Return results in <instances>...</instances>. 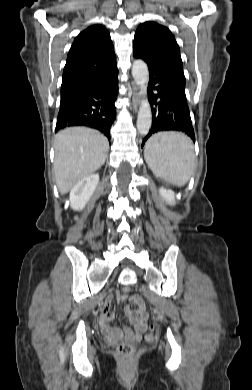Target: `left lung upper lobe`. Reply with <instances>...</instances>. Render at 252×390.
Here are the masks:
<instances>
[{
    "mask_svg": "<svg viewBox=\"0 0 252 390\" xmlns=\"http://www.w3.org/2000/svg\"><path fill=\"white\" fill-rule=\"evenodd\" d=\"M134 52L146 63L160 66L185 80L179 46L167 27L156 22L140 24L135 32Z\"/></svg>",
    "mask_w": 252,
    "mask_h": 390,
    "instance_id": "1",
    "label": "left lung upper lobe"
}]
</instances>
